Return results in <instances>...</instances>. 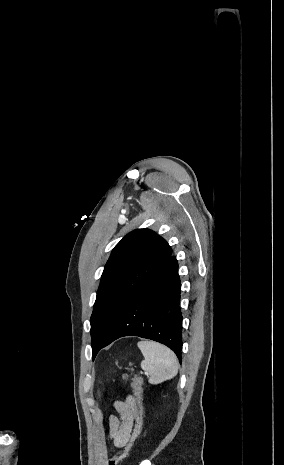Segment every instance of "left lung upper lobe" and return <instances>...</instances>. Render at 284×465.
<instances>
[{
  "instance_id": "5c2ea615",
  "label": "left lung upper lobe",
  "mask_w": 284,
  "mask_h": 465,
  "mask_svg": "<svg viewBox=\"0 0 284 465\" xmlns=\"http://www.w3.org/2000/svg\"><path fill=\"white\" fill-rule=\"evenodd\" d=\"M172 255L168 243L149 229H136L114 247L105 265L93 306V359L123 308Z\"/></svg>"
}]
</instances>
